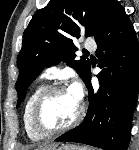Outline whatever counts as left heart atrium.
I'll return each mask as SVG.
<instances>
[{
    "mask_svg": "<svg viewBox=\"0 0 139 150\" xmlns=\"http://www.w3.org/2000/svg\"><path fill=\"white\" fill-rule=\"evenodd\" d=\"M69 91L73 94V96L80 101L83 95V90H82V86L79 82L74 81L70 88Z\"/></svg>",
    "mask_w": 139,
    "mask_h": 150,
    "instance_id": "39dd6f15",
    "label": "left heart atrium"
}]
</instances>
